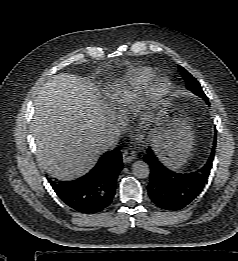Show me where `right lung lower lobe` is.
I'll use <instances>...</instances> for the list:
<instances>
[{"instance_id":"1","label":"right lung lower lobe","mask_w":238,"mask_h":261,"mask_svg":"<svg viewBox=\"0 0 238 261\" xmlns=\"http://www.w3.org/2000/svg\"><path fill=\"white\" fill-rule=\"evenodd\" d=\"M122 166V155L114 149L101 155L93 169L76 180L48 181L59 198L72 209L84 214L98 213L111 204Z\"/></svg>"}]
</instances>
